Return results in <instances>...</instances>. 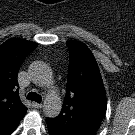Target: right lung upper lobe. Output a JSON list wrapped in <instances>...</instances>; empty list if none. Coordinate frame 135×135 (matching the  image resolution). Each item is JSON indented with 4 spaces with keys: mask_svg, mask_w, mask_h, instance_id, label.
I'll return each instance as SVG.
<instances>
[{
    "mask_svg": "<svg viewBox=\"0 0 135 135\" xmlns=\"http://www.w3.org/2000/svg\"><path fill=\"white\" fill-rule=\"evenodd\" d=\"M37 44L10 39L0 46V135H10L24 117L27 108L19 98L18 71Z\"/></svg>",
    "mask_w": 135,
    "mask_h": 135,
    "instance_id": "cb5924a9",
    "label": "right lung upper lobe"
}]
</instances>
